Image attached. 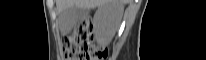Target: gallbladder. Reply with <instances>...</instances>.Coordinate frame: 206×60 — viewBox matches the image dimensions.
Masks as SVG:
<instances>
[{"label": "gallbladder", "instance_id": "bac80fb5", "mask_svg": "<svg viewBox=\"0 0 206 60\" xmlns=\"http://www.w3.org/2000/svg\"><path fill=\"white\" fill-rule=\"evenodd\" d=\"M87 9L78 8L76 6L69 7L63 10L59 15V24L71 30L78 22H80L87 14Z\"/></svg>", "mask_w": 206, "mask_h": 60}]
</instances>
